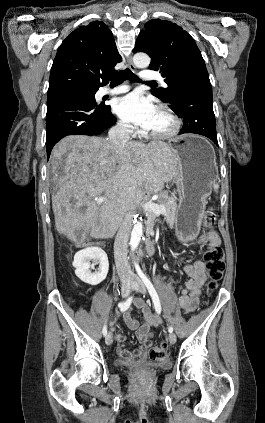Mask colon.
Returning <instances> with one entry per match:
<instances>
[{
    "mask_svg": "<svg viewBox=\"0 0 265 423\" xmlns=\"http://www.w3.org/2000/svg\"><path fill=\"white\" fill-rule=\"evenodd\" d=\"M215 213L213 210H207L205 214V225L213 226L215 223ZM204 262L206 264L209 281L207 283L208 291L216 289L218 281L222 278L225 271L224 252L218 245H209L204 253ZM169 346L166 341L151 347L148 351L149 358L154 361H165L168 357Z\"/></svg>",
    "mask_w": 265,
    "mask_h": 423,
    "instance_id": "obj_1",
    "label": "colon"
}]
</instances>
